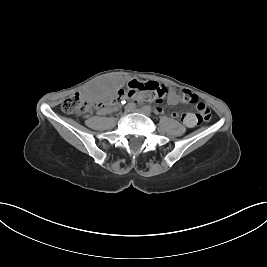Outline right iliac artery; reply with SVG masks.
I'll list each match as a JSON object with an SVG mask.
<instances>
[{
	"instance_id": "1",
	"label": "right iliac artery",
	"mask_w": 267,
	"mask_h": 267,
	"mask_svg": "<svg viewBox=\"0 0 267 267\" xmlns=\"http://www.w3.org/2000/svg\"><path fill=\"white\" fill-rule=\"evenodd\" d=\"M135 108V104L134 103H128L126 106H125V110L126 111H131Z\"/></svg>"
}]
</instances>
